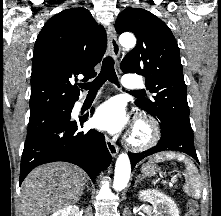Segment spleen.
Segmentation results:
<instances>
[{
  "instance_id": "spleen-1",
  "label": "spleen",
  "mask_w": 221,
  "mask_h": 216,
  "mask_svg": "<svg viewBox=\"0 0 221 216\" xmlns=\"http://www.w3.org/2000/svg\"><path fill=\"white\" fill-rule=\"evenodd\" d=\"M178 159L179 161H183L186 164L187 173L186 177V192L189 195H192L194 198H199L201 193V183L198 176V171L193 162L186 158L183 154H176L173 152L160 153L156 154L153 157V161L163 162L168 159Z\"/></svg>"
}]
</instances>
